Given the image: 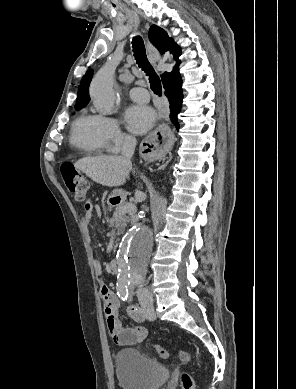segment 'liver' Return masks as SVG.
Masks as SVG:
<instances>
[{
  "instance_id": "6515ba94",
  "label": "liver",
  "mask_w": 296,
  "mask_h": 389,
  "mask_svg": "<svg viewBox=\"0 0 296 389\" xmlns=\"http://www.w3.org/2000/svg\"><path fill=\"white\" fill-rule=\"evenodd\" d=\"M74 167L83 171L96 183L107 187H117L125 183L132 170V163L124 156H96L79 159ZM135 198L142 201L146 195L136 189Z\"/></svg>"
}]
</instances>
